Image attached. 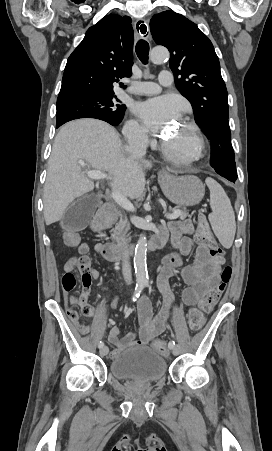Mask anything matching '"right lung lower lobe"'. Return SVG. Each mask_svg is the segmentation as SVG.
I'll return each instance as SVG.
<instances>
[{
    "label": "right lung lower lobe",
    "instance_id": "obj_1",
    "mask_svg": "<svg viewBox=\"0 0 272 451\" xmlns=\"http://www.w3.org/2000/svg\"><path fill=\"white\" fill-rule=\"evenodd\" d=\"M64 124V123H63ZM62 124H56V128H58L59 126H61ZM113 126H115V125H113Z\"/></svg>",
    "mask_w": 272,
    "mask_h": 451
}]
</instances>
